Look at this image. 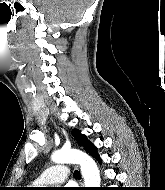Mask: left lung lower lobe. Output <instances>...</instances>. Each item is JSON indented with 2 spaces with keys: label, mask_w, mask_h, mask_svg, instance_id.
<instances>
[{
  "label": "left lung lower lobe",
  "mask_w": 165,
  "mask_h": 190,
  "mask_svg": "<svg viewBox=\"0 0 165 190\" xmlns=\"http://www.w3.org/2000/svg\"><path fill=\"white\" fill-rule=\"evenodd\" d=\"M98 161H99L100 163L102 162L100 158H98Z\"/></svg>",
  "instance_id": "1"
}]
</instances>
